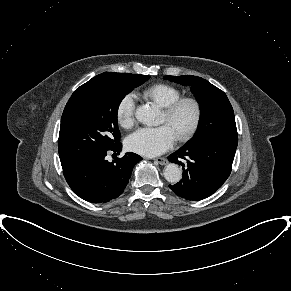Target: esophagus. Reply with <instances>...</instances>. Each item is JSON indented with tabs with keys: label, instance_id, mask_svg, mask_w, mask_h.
Wrapping results in <instances>:
<instances>
[{
	"label": "esophagus",
	"instance_id": "obj_1",
	"mask_svg": "<svg viewBox=\"0 0 291 291\" xmlns=\"http://www.w3.org/2000/svg\"><path fill=\"white\" fill-rule=\"evenodd\" d=\"M154 161L160 165H166L168 162L165 157H158V158L154 159Z\"/></svg>",
	"mask_w": 291,
	"mask_h": 291
}]
</instances>
